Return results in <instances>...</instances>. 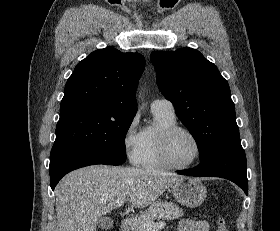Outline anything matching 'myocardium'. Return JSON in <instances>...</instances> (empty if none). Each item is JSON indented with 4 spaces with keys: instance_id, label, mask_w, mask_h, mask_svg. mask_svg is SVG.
<instances>
[{
    "instance_id": "f54148a6",
    "label": "myocardium",
    "mask_w": 280,
    "mask_h": 231,
    "mask_svg": "<svg viewBox=\"0 0 280 231\" xmlns=\"http://www.w3.org/2000/svg\"><path fill=\"white\" fill-rule=\"evenodd\" d=\"M178 132H185L189 134L196 142L197 145V155L195 160L186 165H178L170 157L169 154V143L171 138ZM157 145H158V154L160 160L169 168L176 169V170H185L196 166L202 158L203 155V145L200 138L197 134L188 127L181 126V125H171L162 127L159 130L157 136Z\"/></svg>"
}]
</instances>
